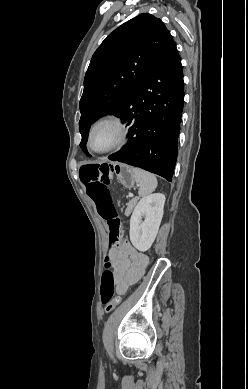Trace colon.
Instances as JSON below:
<instances>
[{"label":"colon","mask_w":248,"mask_h":389,"mask_svg":"<svg viewBox=\"0 0 248 389\" xmlns=\"http://www.w3.org/2000/svg\"><path fill=\"white\" fill-rule=\"evenodd\" d=\"M110 167V161L86 162L81 177L88 196L95 202L99 215L107 222L109 244L117 247L121 244L124 228L109 190L112 175ZM115 293V267L107 260L100 288L101 302L107 313L112 312L121 302L122 296H116Z\"/></svg>","instance_id":"5ec220e1"}]
</instances>
